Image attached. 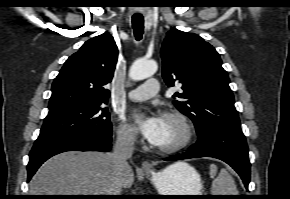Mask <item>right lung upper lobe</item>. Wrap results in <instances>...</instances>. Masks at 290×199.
Here are the masks:
<instances>
[{
	"label": "right lung upper lobe",
	"instance_id": "1",
	"mask_svg": "<svg viewBox=\"0 0 290 199\" xmlns=\"http://www.w3.org/2000/svg\"><path fill=\"white\" fill-rule=\"evenodd\" d=\"M118 49L111 35L86 41L64 63L52 85L49 112L69 106L106 103L117 63Z\"/></svg>",
	"mask_w": 290,
	"mask_h": 199
}]
</instances>
